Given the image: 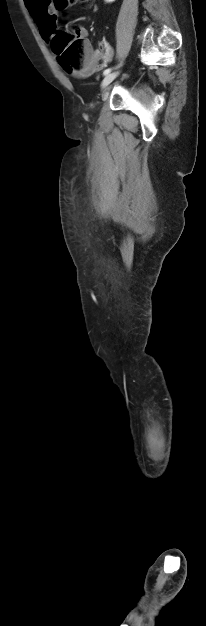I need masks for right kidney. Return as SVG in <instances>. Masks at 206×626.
<instances>
[{
    "instance_id": "ca27d5eb",
    "label": "right kidney",
    "mask_w": 206,
    "mask_h": 626,
    "mask_svg": "<svg viewBox=\"0 0 206 626\" xmlns=\"http://www.w3.org/2000/svg\"><path fill=\"white\" fill-rule=\"evenodd\" d=\"M104 1L107 3H111V2H114L115 0H104Z\"/></svg>"
}]
</instances>
